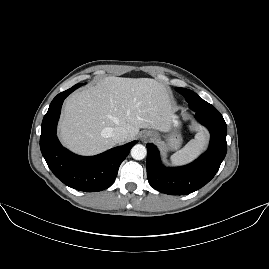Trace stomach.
Returning <instances> with one entry per match:
<instances>
[{
	"instance_id": "obj_1",
	"label": "stomach",
	"mask_w": 269,
	"mask_h": 269,
	"mask_svg": "<svg viewBox=\"0 0 269 269\" xmlns=\"http://www.w3.org/2000/svg\"><path fill=\"white\" fill-rule=\"evenodd\" d=\"M164 146L165 150L176 149L180 145V138L178 136H171L167 142H159Z\"/></svg>"
}]
</instances>
